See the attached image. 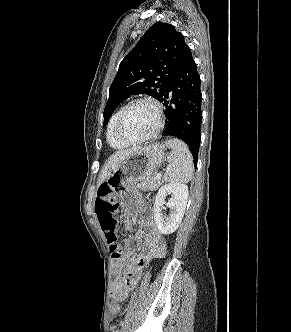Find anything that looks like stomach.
<instances>
[{
	"instance_id": "stomach-1",
	"label": "stomach",
	"mask_w": 291,
	"mask_h": 332,
	"mask_svg": "<svg viewBox=\"0 0 291 332\" xmlns=\"http://www.w3.org/2000/svg\"><path fill=\"white\" fill-rule=\"evenodd\" d=\"M164 151L165 146L160 143L141 147L124 159L105 180L117 197L122 212L137 213L141 197L135 183L151 178L163 162Z\"/></svg>"
}]
</instances>
